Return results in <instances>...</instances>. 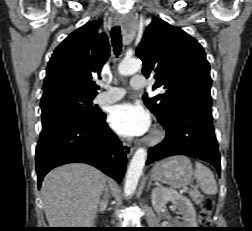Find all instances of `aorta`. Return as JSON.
Listing matches in <instances>:
<instances>
[{
	"label": "aorta",
	"instance_id": "1",
	"mask_svg": "<svg viewBox=\"0 0 252 231\" xmlns=\"http://www.w3.org/2000/svg\"><path fill=\"white\" fill-rule=\"evenodd\" d=\"M142 68V62L139 59H124L118 66V72L123 76L132 75ZM147 159V151L145 148H138L134 153L130 165L127 170L124 185V193L126 196L132 194L142 174L143 167Z\"/></svg>",
	"mask_w": 252,
	"mask_h": 231
}]
</instances>
